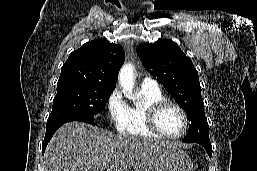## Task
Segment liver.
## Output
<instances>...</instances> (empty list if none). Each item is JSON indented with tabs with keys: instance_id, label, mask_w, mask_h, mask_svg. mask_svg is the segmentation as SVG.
<instances>
[{
	"instance_id": "obj_1",
	"label": "liver",
	"mask_w": 257,
	"mask_h": 171,
	"mask_svg": "<svg viewBox=\"0 0 257 171\" xmlns=\"http://www.w3.org/2000/svg\"><path fill=\"white\" fill-rule=\"evenodd\" d=\"M161 144L103 131L83 122H69L51 138L44 155L45 171H130L139 155Z\"/></svg>"
}]
</instances>
